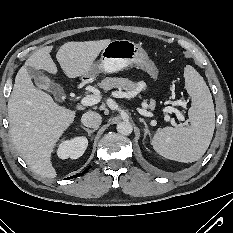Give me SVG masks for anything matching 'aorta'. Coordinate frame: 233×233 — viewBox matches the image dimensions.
<instances>
[{"label":"aorta","instance_id":"1","mask_svg":"<svg viewBox=\"0 0 233 233\" xmlns=\"http://www.w3.org/2000/svg\"><path fill=\"white\" fill-rule=\"evenodd\" d=\"M132 125L128 121H122L117 124V131L121 135H129L132 133Z\"/></svg>","mask_w":233,"mask_h":233}]
</instances>
